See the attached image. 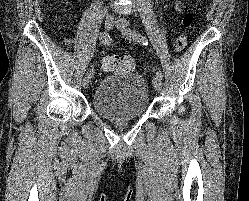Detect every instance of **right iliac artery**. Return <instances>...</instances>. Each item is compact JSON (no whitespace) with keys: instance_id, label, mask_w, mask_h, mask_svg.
Masks as SVG:
<instances>
[{"instance_id":"1","label":"right iliac artery","mask_w":249,"mask_h":201,"mask_svg":"<svg viewBox=\"0 0 249 201\" xmlns=\"http://www.w3.org/2000/svg\"><path fill=\"white\" fill-rule=\"evenodd\" d=\"M100 41H101V43L104 44V45H110L111 39H110L109 34L106 33V32L101 33V35H100ZM87 75H89L90 78L93 77V76H94V71H93V70H89V71L87 72Z\"/></svg>"}]
</instances>
